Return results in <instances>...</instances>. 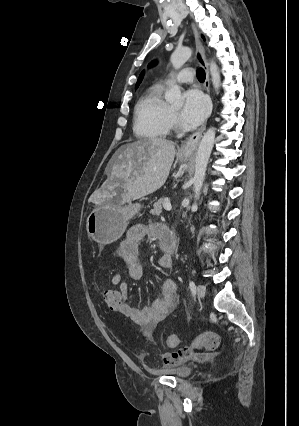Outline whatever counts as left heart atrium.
<instances>
[{
  "instance_id": "1",
  "label": "left heart atrium",
  "mask_w": 299,
  "mask_h": 426,
  "mask_svg": "<svg viewBox=\"0 0 299 426\" xmlns=\"http://www.w3.org/2000/svg\"><path fill=\"white\" fill-rule=\"evenodd\" d=\"M181 118L190 125L200 124L206 117L209 104L206 97L197 89H189L184 95Z\"/></svg>"
}]
</instances>
